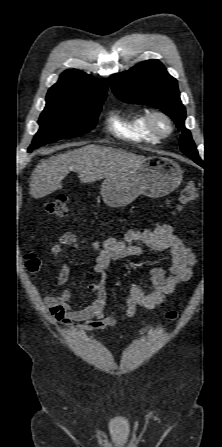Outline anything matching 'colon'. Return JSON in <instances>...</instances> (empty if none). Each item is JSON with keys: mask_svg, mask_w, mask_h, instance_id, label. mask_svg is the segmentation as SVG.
I'll list each match as a JSON object with an SVG mask.
<instances>
[{"mask_svg": "<svg viewBox=\"0 0 222 447\" xmlns=\"http://www.w3.org/2000/svg\"><path fill=\"white\" fill-rule=\"evenodd\" d=\"M197 197V189L193 183H189L182 189L179 196V208H183L188 205ZM46 212L57 218H65L70 214L68 206V198L66 196H60L50 201L46 205ZM44 261L42 258L36 256L33 253H27L25 255V266L31 273H37L43 267ZM179 312L171 310L166 314V319L169 322H174L178 319Z\"/></svg>", "mask_w": 222, "mask_h": 447, "instance_id": "colon-1", "label": "colon"}]
</instances>
